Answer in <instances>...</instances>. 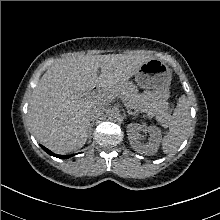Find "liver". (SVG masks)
<instances>
[{
	"mask_svg": "<svg viewBox=\"0 0 220 220\" xmlns=\"http://www.w3.org/2000/svg\"><path fill=\"white\" fill-rule=\"evenodd\" d=\"M148 60L136 54H80L60 59L44 73L32 92L28 116L35 137L57 153L83 147L91 110L118 95ZM95 87L98 94L87 97Z\"/></svg>",
	"mask_w": 220,
	"mask_h": 220,
	"instance_id": "6515ba94",
	"label": "liver"
}]
</instances>
